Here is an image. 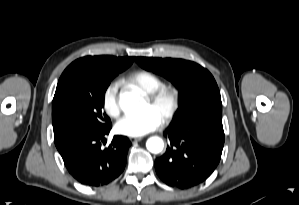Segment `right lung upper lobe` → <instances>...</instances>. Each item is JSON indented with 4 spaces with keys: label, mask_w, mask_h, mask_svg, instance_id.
I'll list each match as a JSON object with an SVG mask.
<instances>
[{
    "label": "right lung upper lobe",
    "mask_w": 299,
    "mask_h": 205,
    "mask_svg": "<svg viewBox=\"0 0 299 205\" xmlns=\"http://www.w3.org/2000/svg\"><path fill=\"white\" fill-rule=\"evenodd\" d=\"M134 61V57L114 56H86L71 63L61 75L54 97L58 93L62 80L69 73L79 74H114L127 69Z\"/></svg>",
    "instance_id": "cb5924a9"
}]
</instances>
